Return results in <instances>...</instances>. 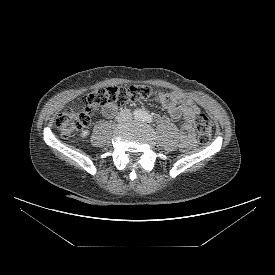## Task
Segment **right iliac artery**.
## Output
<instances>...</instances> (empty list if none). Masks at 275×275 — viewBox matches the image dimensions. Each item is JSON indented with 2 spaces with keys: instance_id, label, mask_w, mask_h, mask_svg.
Here are the masks:
<instances>
[{
  "instance_id": "obj_1",
  "label": "right iliac artery",
  "mask_w": 275,
  "mask_h": 275,
  "mask_svg": "<svg viewBox=\"0 0 275 275\" xmlns=\"http://www.w3.org/2000/svg\"><path fill=\"white\" fill-rule=\"evenodd\" d=\"M137 116H138V118H142V114L141 113L137 114Z\"/></svg>"
}]
</instances>
